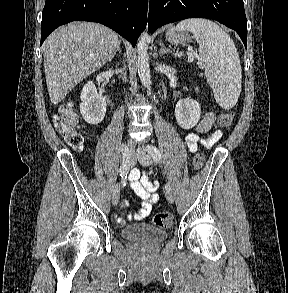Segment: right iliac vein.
I'll return each instance as SVG.
<instances>
[{
  "label": "right iliac vein",
  "mask_w": 288,
  "mask_h": 293,
  "mask_svg": "<svg viewBox=\"0 0 288 293\" xmlns=\"http://www.w3.org/2000/svg\"><path fill=\"white\" fill-rule=\"evenodd\" d=\"M122 147H129V152H128V156H129V163L134 162V146L131 142H129L126 145H123ZM123 164V163H122ZM119 197H120V186L118 184H116L113 188L112 191V203L113 205H117L119 202Z\"/></svg>",
  "instance_id": "right-iliac-vein-1"
}]
</instances>
